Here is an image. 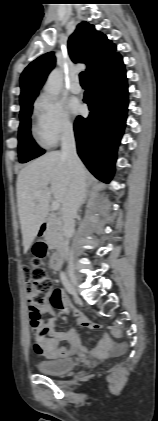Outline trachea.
Instances as JSON below:
<instances>
[{
  "label": "trachea",
  "instance_id": "3493384b",
  "mask_svg": "<svg viewBox=\"0 0 158 421\" xmlns=\"http://www.w3.org/2000/svg\"><path fill=\"white\" fill-rule=\"evenodd\" d=\"M80 82L81 84H87V74L84 71L80 73Z\"/></svg>",
  "mask_w": 158,
  "mask_h": 421
}]
</instances>
